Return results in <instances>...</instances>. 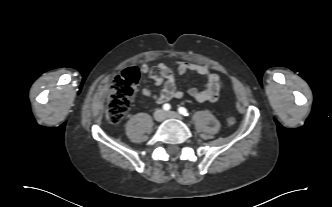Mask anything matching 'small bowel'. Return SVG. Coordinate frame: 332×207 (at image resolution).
Returning a JSON list of instances; mask_svg holds the SVG:
<instances>
[{"mask_svg": "<svg viewBox=\"0 0 332 207\" xmlns=\"http://www.w3.org/2000/svg\"><path fill=\"white\" fill-rule=\"evenodd\" d=\"M142 73L147 74L158 86H162V90L153 93L150 89L144 88L142 94L144 97L152 98L157 103H165L172 98H181L184 91L178 89L175 84L173 72L165 63H160L155 67H149L146 64L140 66ZM178 74L183 75L188 71L194 72L205 79V86L199 90L191 87L187 93L198 102H214L217 100L222 88L223 82L221 78L213 73L207 66L195 64L188 61H180L176 64Z\"/></svg>", "mask_w": 332, "mask_h": 207, "instance_id": "obj_1", "label": "small bowel"}]
</instances>
